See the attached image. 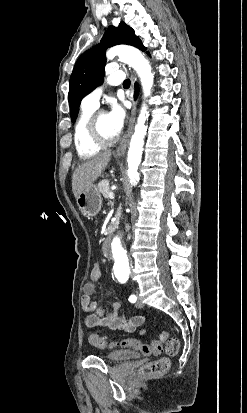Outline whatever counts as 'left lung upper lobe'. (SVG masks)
<instances>
[{
    "label": "left lung upper lobe",
    "instance_id": "left-lung-upper-lobe-1",
    "mask_svg": "<svg viewBox=\"0 0 247 413\" xmlns=\"http://www.w3.org/2000/svg\"><path fill=\"white\" fill-rule=\"evenodd\" d=\"M118 44L132 45L142 51L146 50L134 30L124 22H121L117 28L110 26L101 42L84 52L74 66L68 94L72 122H75L82 98L103 81L106 49Z\"/></svg>",
    "mask_w": 247,
    "mask_h": 413
}]
</instances>
